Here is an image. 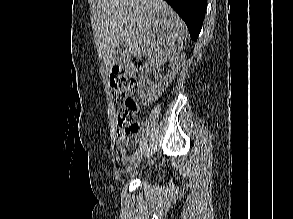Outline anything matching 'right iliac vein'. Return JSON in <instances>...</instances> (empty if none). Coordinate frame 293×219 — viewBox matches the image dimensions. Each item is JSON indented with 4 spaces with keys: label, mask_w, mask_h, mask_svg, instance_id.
Wrapping results in <instances>:
<instances>
[{
    "label": "right iliac vein",
    "mask_w": 293,
    "mask_h": 219,
    "mask_svg": "<svg viewBox=\"0 0 293 219\" xmlns=\"http://www.w3.org/2000/svg\"><path fill=\"white\" fill-rule=\"evenodd\" d=\"M141 160H142V153H139L129 163L128 168H127V172H131L134 169H136V167L140 164Z\"/></svg>",
    "instance_id": "obj_1"
}]
</instances>
